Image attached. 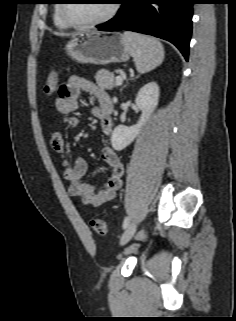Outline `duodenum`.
<instances>
[{
	"label": "duodenum",
	"instance_id": "410a0bca",
	"mask_svg": "<svg viewBox=\"0 0 236 321\" xmlns=\"http://www.w3.org/2000/svg\"><path fill=\"white\" fill-rule=\"evenodd\" d=\"M110 110L112 111L113 110V104H112V101H111V104L109 106Z\"/></svg>",
	"mask_w": 236,
	"mask_h": 321
}]
</instances>
